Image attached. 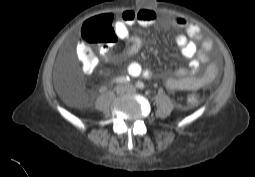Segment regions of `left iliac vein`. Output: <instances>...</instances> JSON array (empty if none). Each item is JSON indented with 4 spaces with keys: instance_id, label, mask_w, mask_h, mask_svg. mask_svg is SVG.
Returning <instances> with one entry per match:
<instances>
[{
    "instance_id": "1",
    "label": "left iliac vein",
    "mask_w": 255,
    "mask_h": 177,
    "mask_svg": "<svg viewBox=\"0 0 255 177\" xmlns=\"http://www.w3.org/2000/svg\"><path fill=\"white\" fill-rule=\"evenodd\" d=\"M128 91L132 92L133 88L132 87H128Z\"/></svg>"
}]
</instances>
